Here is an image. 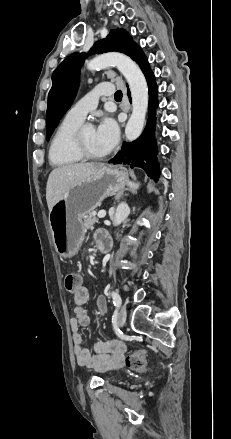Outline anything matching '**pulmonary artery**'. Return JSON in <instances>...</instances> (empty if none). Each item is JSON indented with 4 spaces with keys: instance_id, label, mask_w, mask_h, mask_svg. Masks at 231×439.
I'll use <instances>...</instances> for the list:
<instances>
[{
    "instance_id": "e3ab8cb5",
    "label": "pulmonary artery",
    "mask_w": 231,
    "mask_h": 439,
    "mask_svg": "<svg viewBox=\"0 0 231 439\" xmlns=\"http://www.w3.org/2000/svg\"><path fill=\"white\" fill-rule=\"evenodd\" d=\"M113 90L114 86L111 83H101L97 85L90 93L72 106L66 116L73 120L83 122L86 115L97 107L99 97L109 96L113 93Z\"/></svg>"
}]
</instances>
